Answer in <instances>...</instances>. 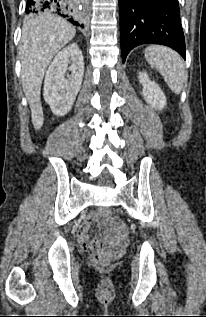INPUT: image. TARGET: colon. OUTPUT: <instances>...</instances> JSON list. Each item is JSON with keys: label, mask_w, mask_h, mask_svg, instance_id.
Returning a JSON list of instances; mask_svg holds the SVG:
<instances>
[{"label": "colon", "mask_w": 206, "mask_h": 317, "mask_svg": "<svg viewBox=\"0 0 206 317\" xmlns=\"http://www.w3.org/2000/svg\"><path fill=\"white\" fill-rule=\"evenodd\" d=\"M99 217L102 221H112L117 227L122 225L118 219H112L111 212L108 209H101ZM84 248L91 252V258L97 266L105 267L113 263L119 256V251L107 247L101 240H90L84 245Z\"/></svg>", "instance_id": "obj_1"}]
</instances>
